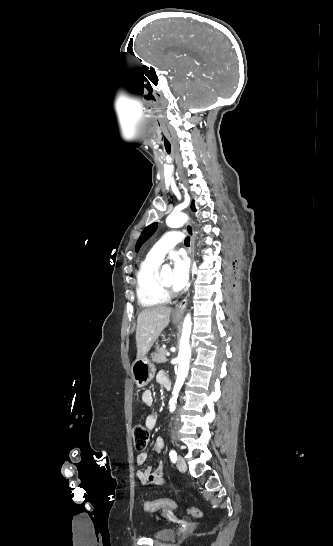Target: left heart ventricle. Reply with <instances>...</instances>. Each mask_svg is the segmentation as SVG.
<instances>
[{
	"label": "left heart ventricle",
	"mask_w": 333,
	"mask_h": 546,
	"mask_svg": "<svg viewBox=\"0 0 333 546\" xmlns=\"http://www.w3.org/2000/svg\"><path fill=\"white\" fill-rule=\"evenodd\" d=\"M161 280L162 282L171 287L172 286V274L170 272H164L161 274Z\"/></svg>",
	"instance_id": "left-heart-ventricle-1"
}]
</instances>
